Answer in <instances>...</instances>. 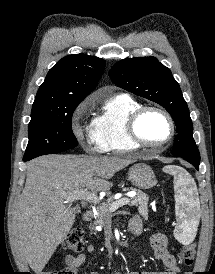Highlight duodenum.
<instances>
[{
    "label": "duodenum",
    "instance_id": "1",
    "mask_svg": "<svg viewBox=\"0 0 215 274\" xmlns=\"http://www.w3.org/2000/svg\"><path fill=\"white\" fill-rule=\"evenodd\" d=\"M83 220L85 221V222H88V221H90L91 219H92V217H93V212H92V210H86L84 213H83ZM130 231H131V233L132 234H134V235H137L138 233H139V230H137V229H130Z\"/></svg>",
    "mask_w": 215,
    "mask_h": 274
}]
</instances>
